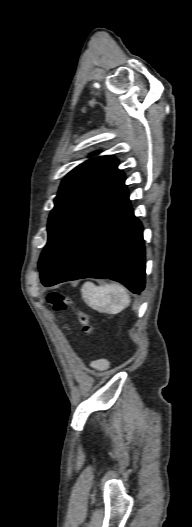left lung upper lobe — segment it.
Here are the masks:
<instances>
[{
  "label": "left lung upper lobe",
  "mask_w": 192,
  "mask_h": 527,
  "mask_svg": "<svg viewBox=\"0 0 192 527\" xmlns=\"http://www.w3.org/2000/svg\"><path fill=\"white\" fill-rule=\"evenodd\" d=\"M111 156L95 157L73 169L63 179L48 221V242L40 260L45 276L95 208L124 178Z\"/></svg>",
  "instance_id": "left-lung-upper-lobe-1"
}]
</instances>
